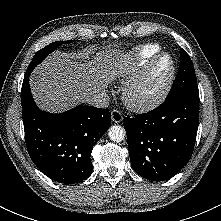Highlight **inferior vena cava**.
Listing matches in <instances>:
<instances>
[{"mask_svg":"<svg viewBox=\"0 0 221 221\" xmlns=\"http://www.w3.org/2000/svg\"><path fill=\"white\" fill-rule=\"evenodd\" d=\"M85 102L95 107L106 108L109 105V96L105 91H102L87 96Z\"/></svg>","mask_w":221,"mask_h":221,"instance_id":"1","label":"inferior vena cava"}]
</instances>
